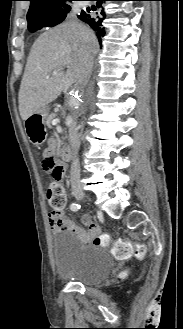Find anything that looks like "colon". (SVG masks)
Returning <instances> with one entry per match:
<instances>
[{
    "label": "colon",
    "instance_id": "obj_1",
    "mask_svg": "<svg viewBox=\"0 0 183 329\" xmlns=\"http://www.w3.org/2000/svg\"><path fill=\"white\" fill-rule=\"evenodd\" d=\"M42 167L44 171L51 176L52 181L48 187V201L53 211L61 213L67 203V197L64 186L62 184L63 169L55 161V158L51 155H46L42 160ZM94 244L99 246L113 247V252L117 256H127L132 252L136 257L141 258L145 255V247L143 245H136L134 248L130 244L122 241L113 242L107 235L96 236L93 240Z\"/></svg>",
    "mask_w": 183,
    "mask_h": 329
}]
</instances>
